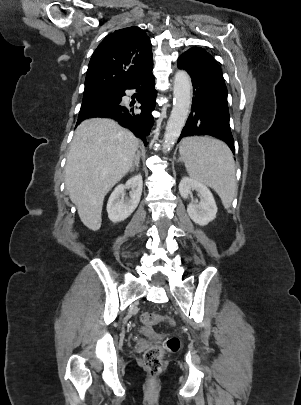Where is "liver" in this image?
I'll list each match as a JSON object with an SVG mask.
<instances>
[{
	"instance_id": "1",
	"label": "liver",
	"mask_w": 301,
	"mask_h": 405,
	"mask_svg": "<svg viewBox=\"0 0 301 405\" xmlns=\"http://www.w3.org/2000/svg\"><path fill=\"white\" fill-rule=\"evenodd\" d=\"M139 140L106 118L84 120L75 130L65 166V186L83 224L101 226L106 194L131 169Z\"/></svg>"
}]
</instances>
